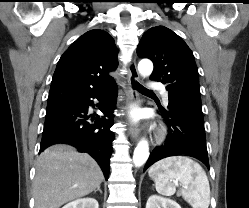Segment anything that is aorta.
<instances>
[{
	"instance_id": "aorta-1",
	"label": "aorta",
	"mask_w": 249,
	"mask_h": 208,
	"mask_svg": "<svg viewBox=\"0 0 249 208\" xmlns=\"http://www.w3.org/2000/svg\"><path fill=\"white\" fill-rule=\"evenodd\" d=\"M138 71L142 76H148L153 71V64L149 59H142L138 64ZM149 157V145L147 140L142 139L136 146L133 154L135 166L143 165Z\"/></svg>"
}]
</instances>
